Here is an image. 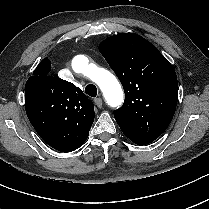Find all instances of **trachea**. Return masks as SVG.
Instances as JSON below:
<instances>
[{"mask_svg":"<svg viewBox=\"0 0 209 209\" xmlns=\"http://www.w3.org/2000/svg\"><path fill=\"white\" fill-rule=\"evenodd\" d=\"M85 93L88 94L91 97H96L97 96V88L94 84H88L85 87Z\"/></svg>","mask_w":209,"mask_h":209,"instance_id":"1","label":"trachea"}]
</instances>
